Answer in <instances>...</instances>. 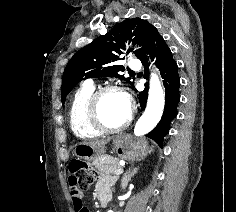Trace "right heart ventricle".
<instances>
[{
    "label": "right heart ventricle",
    "instance_id": "e07e8e85",
    "mask_svg": "<svg viewBox=\"0 0 236 212\" xmlns=\"http://www.w3.org/2000/svg\"><path fill=\"white\" fill-rule=\"evenodd\" d=\"M95 91L93 84L82 85L73 95L69 108V122L74 135L80 139H92L102 133L92 127L88 121V103Z\"/></svg>",
    "mask_w": 236,
    "mask_h": 212
}]
</instances>
